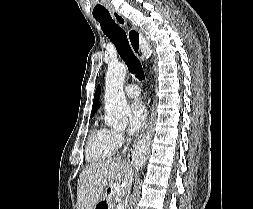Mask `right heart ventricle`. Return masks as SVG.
<instances>
[{"mask_svg": "<svg viewBox=\"0 0 253 209\" xmlns=\"http://www.w3.org/2000/svg\"><path fill=\"white\" fill-rule=\"evenodd\" d=\"M111 130L95 124L89 133L86 145V157L90 162L110 157L116 147L110 136Z\"/></svg>", "mask_w": 253, "mask_h": 209, "instance_id": "obj_1", "label": "right heart ventricle"}]
</instances>
